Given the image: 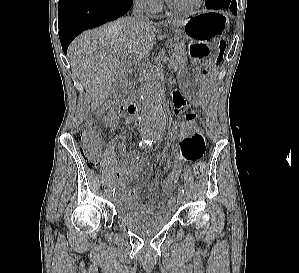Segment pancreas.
Here are the masks:
<instances>
[{
	"mask_svg": "<svg viewBox=\"0 0 299 273\" xmlns=\"http://www.w3.org/2000/svg\"><path fill=\"white\" fill-rule=\"evenodd\" d=\"M187 63V51L184 44H178L175 46L173 57L169 62V68L177 70L182 68Z\"/></svg>",
	"mask_w": 299,
	"mask_h": 273,
	"instance_id": "cf45deb5",
	"label": "pancreas"
}]
</instances>
